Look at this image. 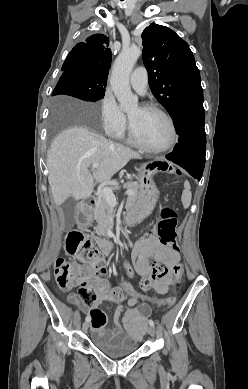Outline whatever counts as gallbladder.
Masks as SVG:
<instances>
[{
	"label": "gallbladder",
	"mask_w": 248,
	"mask_h": 389,
	"mask_svg": "<svg viewBox=\"0 0 248 389\" xmlns=\"http://www.w3.org/2000/svg\"><path fill=\"white\" fill-rule=\"evenodd\" d=\"M76 204V200L75 199H69L66 201L65 205H64V208L66 210V213L68 215H73V212H74V206Z\"/></svg>",
	"instance_id": "gallbladder-1"
}]
</instances>
